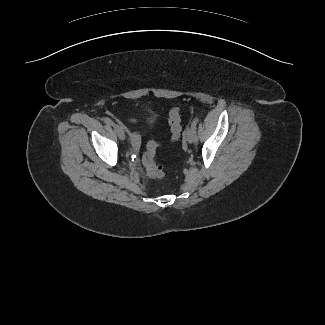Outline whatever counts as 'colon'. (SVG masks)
Here are the masks:
<instances>
[{
	"label": "colon",
	"instance_id": "obj_1",
	"mask_svg": "<svg viewBox=\"0 0 325 325\" xmlns=\"http://www.w3.org/2000/svg\"><path fill=\"white\" fill-rule=\"evenodd\" d=\"M169 125L171 130V141L175 142L181 138L182 126L180 109L173 108L169 112ZM159 144L156 141H150L147 144L145 153L143 154L142 162L149 176L153 178H162L164 176L163 168L155 161L156 151Z\"/></svg>",
	"mask_w": 325,
	"mask_h": 325
}]
</instances>
